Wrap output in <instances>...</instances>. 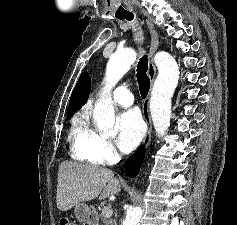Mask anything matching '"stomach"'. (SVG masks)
I'll return each instance as SVG.
<instances>
[{"instance_id": "0dacf381", "label": "stomach", "mask_w": 237, "mask_h": 225, "mask_svg": "<svg viewBox=\"0 0 237 225\" xmlns=\"http://www.w3.org/2000/svg\"><path fill=\"white\" fill-rule=\"evenodd\" d=\"M74 212L77 220L82 223L87 222L95 214L94 208L85 203H78L75 206Z\"/></svg>"}]
</instances>
